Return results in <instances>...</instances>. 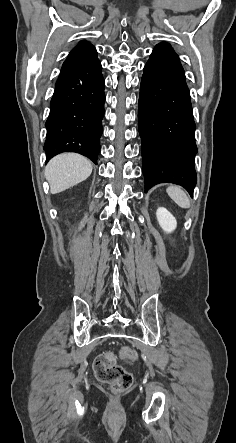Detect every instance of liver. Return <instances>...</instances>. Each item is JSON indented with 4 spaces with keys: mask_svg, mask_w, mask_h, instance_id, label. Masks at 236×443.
I'll list each match as a JSON object with an SVG mask.
<instances>
[{
    "mask_svg": "<svg viewBox=\"0 0 236 443\" xmlns=\"http://www.w3.org/2000/svg\"><path fill=\"white\" fill-rule=\"evenodd\" d=\"M92 173L91 162L80 154L63 153L52 158L45 168L50 192H63L86 180Z\"/></svg>",
    "mask_w": 236,
    "mask_h": 443,
    "instance_id": "6515ba94",
    "label": "liver"
}]
</instances>
